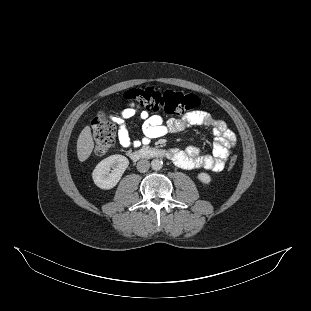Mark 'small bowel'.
Listing matches in <instances>:
<instances>
[{
  "label": "small bowel",
  "mask_w": 311,
  "mask_h": 311,
  "mask_svg": "<svg viewBox=\"0 0 311 311\" xmlns=\"http://www.w3.org/2000/svg\"><path fill=\"white\" fill-rule=\"evenodd\" d=\"M135 115H139L143 121L141 140H134L126 125V120ZM113 121L118 125V140L125 148L148 144L153 139L163 137L169 133L180 132L187 127H208L215 136L212 154H203L195 146H190L183 150H170V159L173 163L186 170L203 168L220 172L224 169L226 161L236 145V136L227 124L205 111H192L180 119L165 121L159 115L149 114L146 109L139 105L128 104L119 115L113 116Z\"/></svg>",
  "instance_id": "1"
}]
</instances>
